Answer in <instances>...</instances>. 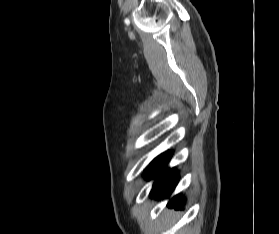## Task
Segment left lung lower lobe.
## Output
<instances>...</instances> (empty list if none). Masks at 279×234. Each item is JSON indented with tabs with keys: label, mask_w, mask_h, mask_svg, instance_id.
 Segmentation results:
<instances>
[{
	"label": "left lung lower lobe",
	"mask_w": 279,
	"mask_h": 234,
	"mask_svg": "<svg viewBox=\"0 0 279 234\" xmlns=\"http://www.w3.org/2000/svg\"><path fill=\"white\" fill-rule=\"evenodd\" d=\"M171 155V152L161 154L150 163L145 171L144 176L147 179L157 176L156 182L154 183L153 189L150 193V196L155 199H163L171 194L177 184V173L173 169L163 170L165 165L170 160ZM183 202L184 200L182 196H175L169 201L168 206L182 209Z\"/></svg>",
	"instance_id": "left-lung-lower-lobe-1"
}]
</instances>
